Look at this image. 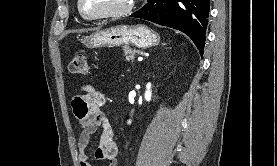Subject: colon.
Here are the masks:
<instances>
[{"label":"colon","instance_id":"1","mask_svg":"<svg viewBox=\"0 0 277 166\" xmlns=\"http://www.w3.org/2000/svg\"><path fill=\"white\" fill-rule=\"evenodd\" d=\"M69 70L74 74H85L88 70L87 59L84 54H77L69 63Z\"/></svg>","mask_w":277,"mask_h":166}]
</instances>
